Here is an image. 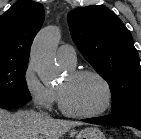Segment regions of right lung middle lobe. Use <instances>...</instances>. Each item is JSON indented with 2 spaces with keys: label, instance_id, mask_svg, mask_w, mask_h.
<instances>
[{
  "label": "right lung middle lobe",
  "instance_id": "dd1d6c3e",
  "mask_svg": "<svg viewBox=\"0 0 141 139\" xmlns=\"http://www.w3.org/2000/svg\"><path fill=\"white\" fill-rule=\"evenodd\" d=\"M27 67V61H0V102L31 100L25 80Z\"/></svg>",
  "mask_w": 141,
  "mask_h": 139
}]
</instances>
